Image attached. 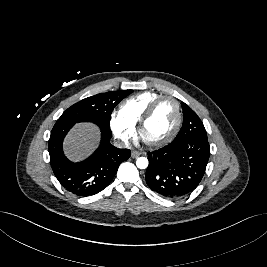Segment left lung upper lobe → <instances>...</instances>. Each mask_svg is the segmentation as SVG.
<instances>
[{"mask_svg": "<svg viewBox=\"0 0 267 267\" xmlns=\"http://www.w3.org/2000/svg\"><path fill=\"white\" fill-rule=\"evenodd\" d=\"M183 109V125L173 141L187 138L208 139L204 125L197 114L185 103H181Z\"/></svg>", "mask_w": 267, "mask_h": 267, "instance_id": "1", "label": "left lung upper lobe"}]
</instances>
